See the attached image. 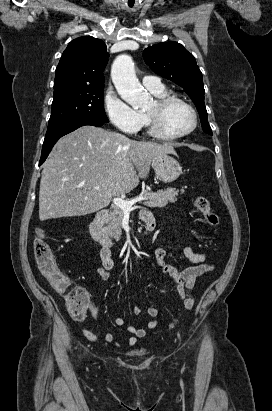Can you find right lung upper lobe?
Listing matches in <instances>:
<instances>
[{"label":"right lung upper lobe","instance_id":"cb5924a9","mask_svg":"<svg viewBox=\"0 0 272 411\" xmlns=\"http://www.w3.org/2000/svg\"><path fill=\"white\" fill-rule=\"evenodd\" d=\"M108 57L107 46L100 39L84 36L72 40L56 68L54 93L104 85L103 71Z\"/></svg>","mask_w":272,"mask_h":411}]
</instances>
